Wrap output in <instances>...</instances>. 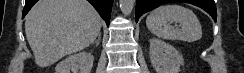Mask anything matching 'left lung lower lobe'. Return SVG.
<instances>
[{
	"instance_id": "obj_1",
	"label": "left lung lower lobe",
	"mask_w": 244,
	"mask_h": 73,
	"mask_svg": "<svg viewBox=\"0 0 244 73\" xmlns=\"http://www.w3.org/2000/svg\"><path fill=\"white\" fill-rule=\"evenodd\" d=\"M169 2H184L196 5L209 13L214 21H216L217 19V11L214 0H137L135 11L136 22L138 21L139 17L144 13L149 12L159 7L160 5Z\"/></svg>"
}]
</instances>
